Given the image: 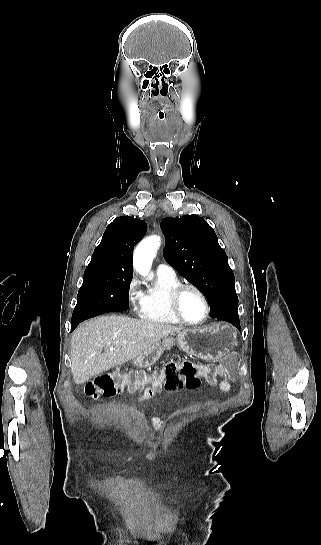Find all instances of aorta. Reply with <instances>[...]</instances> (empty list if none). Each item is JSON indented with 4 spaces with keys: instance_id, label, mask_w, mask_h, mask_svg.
Listing matches in <instances>:
<instances>
[{
    "instance_id": "762f6f07",
    "label": "aorta",
    "mask_w": 321,
    "mask_h": 545,
    "mask_svg": "<svg viewBox=\"0 0 321 545\" xmlns=\"http://www.w3.org/2000/svg\"><path fill=\"white\" fill-rule=\"evenodd\" d=\"M160 246V237L151 236L139 243L133 255V264L136 271L141 275H146L152 265V261Z\"/></svg>"
}]
</instances>
